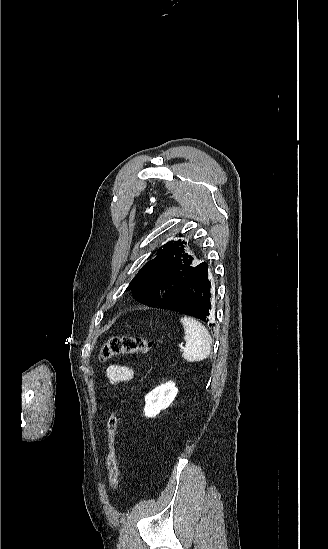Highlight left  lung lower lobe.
<instances>
[{"instance_id": "0a47b994", "label": "left lung lower lobe", "mask_w": 328, "mask_h": 549, "mask_svg": "<svg viewBox=\"0 0 328 549\" xmlns=\"http://www.w3.org/2000/svg\"><path fill=\"white\" fill-rule=\"evenodd\" d=\"M213 291L208 279V267L200 263L179 281L172 295L151 307L186 314L205 322L212 319L211 298ZM212 326V324H209Z\"/></svg>"}]
</instances>
